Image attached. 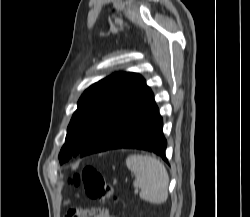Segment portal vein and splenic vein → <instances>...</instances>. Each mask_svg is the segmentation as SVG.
<instances>
[{
  "instance_id": "obj_1",
  "label": "portal vein and splenic vein",
  "mask_w": 250,
  "mask_h": 217,
  "mask_svg": "<svg viewBox=\"0 0 250 217\" xmlns=\"http://www.w3.org/2000/svg\"><path fill=\"white\" fill-rule=\"evenodd\" d=\"M134 192H135V193H138V189H135Z\"/></svg>"
}]
</instances>
